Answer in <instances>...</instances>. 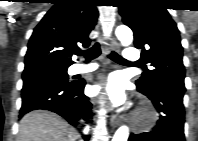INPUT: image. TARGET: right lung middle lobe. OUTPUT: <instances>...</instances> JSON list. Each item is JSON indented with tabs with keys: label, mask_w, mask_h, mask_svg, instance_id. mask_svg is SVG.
Here are the masks:
<instances>
[{
	"label": "right lung middle lobe",
	"mask_w": 198,
	"mask_h": 141,
	"mask_svg": "<svg viewBox=\"0 0 198 141\" xmlns=\"http://www.w3.org/2000/svg\"><path fill=\"white\" fill-rule=\"evenodd\" d=\"M67 68H42L38 70L23 72V81L39 78H55L64 82H70L67 74Z\"/></svg>",
	"instance_id": "right-lung-middle-lobe-1"
}]
</instances>
